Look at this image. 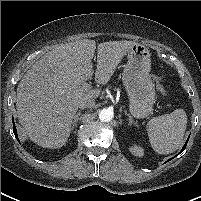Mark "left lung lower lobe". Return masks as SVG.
Returning <instances> with one entry per match:
<instances>
[{
	"instance_id": "left-lung-lower-lobe-1",
	"label": "left lung lower lobe",
	"mask_w": 201,
	"mask_h": 201,
	"mask_svg": "<svg viewBox=\"0 0 201 201\" xmlns=\"http://www.w3.org/2000/svg\"><path fill=\"white\" fill-rule=\"evenodd\" d=\"M188 140H189V138H188ZM188 140L186 141L185 145H184L183 148L181 149L180 153H182V152L185 150V147H186V145H187ZM172 159H173V158H170V159L167 160L166 162H169V161L172 160Z\"/></svg>"
}]
</instances>
